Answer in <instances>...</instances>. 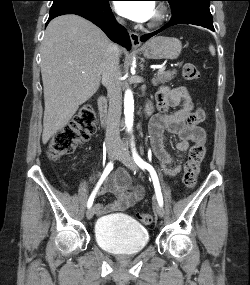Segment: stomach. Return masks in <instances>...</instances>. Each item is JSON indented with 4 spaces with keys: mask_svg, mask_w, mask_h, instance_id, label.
Returning a JSON list of instances; mask_svg holds the SVG:
<instances>
[{
    "mask_svg": "<svg viewBox=\"0 0 250 285\" xmlns=\"http://www.w3.org/2000/svg\"><path fill=\"white\" fill-rule=\"evenodd\" d=\"M141 50L147 59H176L181 53L182 44L177 38L158 36L147 42Z\"/></svg>",
    "mask_w": 250,
    "mask_h": 285,
    "instance_id": "1",
    "label": "stomach"
}]
</instances>
